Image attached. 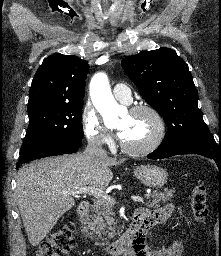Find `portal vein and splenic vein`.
<instances>
[{
  "label": "portal vein and splenic vein",
  "mask_w": 221,
  "mask_h": 256,
  "mask_svg": "<svg viewBox=\"0 0 221 256\" xmlns=\"http://www.w3.org/2000/svg\"><path fill=\"white\" fill-rule=\"evenodd\" d=\"M82 193L92 195L99 200H104V201L110 202L112 204L115 203V200L113 198H111L109 195H107L102 189H99L96 187L85 186V187L73 189L68 192V194H70V195H77V194H82ZM131 199L134 202H143V197H140V196H131Z\"/></svg>",
  "instance_id": "18ae733b"
}]
</instances>
